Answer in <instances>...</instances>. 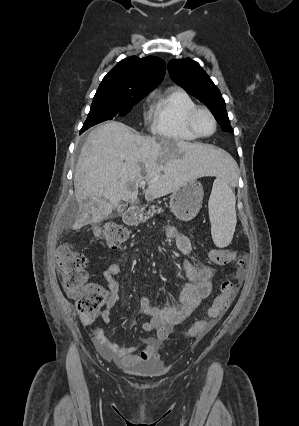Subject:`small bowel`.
Segmentation results:
<instances>
[{"label":"small bowel","mask_w":299,"mask_h":426,"mask_svg":"<svg viewBox=\"0 0 299 426\" xmlns=\"http://www.w3.org/2000/svg\"><path fill=\"white\" fill-rule=\"evenodd\" d=\"M165 234L174 240L182 255V269L186 281L176 303L171 306L157 307L153 306L147 297L140 299L141 311L149 317V320L143 323L142 329L146 332L155 331V335L145 337L142 340L143 347L140 348L139 346H120L112 343L104 335L101 328H97L95 331L101 355L123 368H128L140 362L159 361V350L167 339L169 330L190 316L202 300L211 293L214 270L203 263L192 262L190 259L192 251L190 240L179 233L174 226H167ZM119 274V266L111 263L102 271L103 278L107 281V287L101 289L99 286H95L106 295V307L101 313V318L105 324L110 322V309L119 300Z\"/></svg>","instance_id":"1"}]
</instances>
